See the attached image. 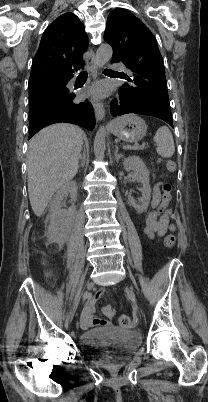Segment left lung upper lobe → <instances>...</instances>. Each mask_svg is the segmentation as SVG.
<instances>
[{
    "label": "left lung upper lobe",
    "instance_id": "5c2ea615",
    "mask_svg": "<svg viewBox=\"0 0 208 402\" xmlns=\"http://www.w3.org/2000/svg\"><path fill=\"white\" fill-rule=\"evenodd\" d=\"M104 39L113 48L116 62L131 71L130 81L122 88L139 100L169 105L164 62L156 39L143 22L126 9L111 11Z\"/></svg>",
    "mask_w": 208,
    "mask_h": 402
}]
</instances>
